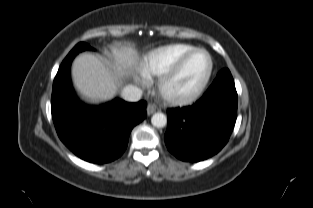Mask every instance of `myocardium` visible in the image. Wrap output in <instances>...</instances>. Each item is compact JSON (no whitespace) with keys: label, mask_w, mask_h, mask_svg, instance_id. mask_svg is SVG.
<instances>
[{"label":"myocardium","mask_w":313,"mask_h":208,"mask_svg":"<svg viewBox=\"0 0 313 208\" xmlns=\"http://www.w3.org/2000/svg\"><path fill=\"white\" fill-rule=\"evenodd\" d=\"M198 53L205 54L208 60L207 69L198 85L194 89L186 92H181L173 89V83L179 77L186 64ZM212 71L213 61L210 54L204 49L196 48L193 51L184 55L172 69L161 75L157 86L158 92L160 96L169 103L177 105L191 103L198 99L204 92L212 75Z\"/></svg>","instance_id":"1"}]
</instances>
